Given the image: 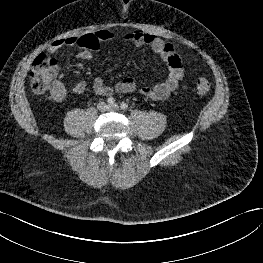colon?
Returning a JSON list of instances; mask_svg holds the SVG:
<instances>
[{
  "label": "colon",
  "instance_id": "colon-1",
  "mask_svg": "<svg viewBox=\"0 0 263 263\" xmlns=\"http://www.w3.org/2000/svg\"><path fill=\"white\" fill-rule=\"evenodd\" d=\"M59 67L57 61L47 54H40L33 62L30 72V84L36 93L51 91L57 83ZM212 89L209 79L202 77L196 82V91L206 94Z\"/></svg>",
  "mask_w": 263,
  "mask_h": 263
}]
</instances>
